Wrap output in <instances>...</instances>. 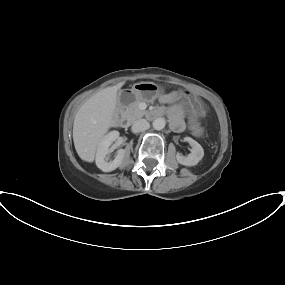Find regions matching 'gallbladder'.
<instances>
[{"mask_svg":"<svg viewBox=\"0 0 285 285\" xmlns=\"http://www.w3.org/2000/svg\"><path fill=\"white\" fill-rule=\"evenodd\" d=\"M125 94H126V92H122V93L120 94V99H122Z\"/></svg>","mask_w":285,"mask_h":285,"instance_id":"bac80fb5","label":"gallbladder"}]
</instances>
